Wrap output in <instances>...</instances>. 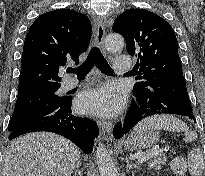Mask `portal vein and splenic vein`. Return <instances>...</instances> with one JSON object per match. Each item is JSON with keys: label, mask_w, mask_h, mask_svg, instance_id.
Returning <instances> with one entry per match:
<instances>
[{"label": "portal vein and splenic vein", "mask_w": 205, "mask_h": 176, "mask_svg": "<svg viewBox=\"0 0 205 176\" xmlns=\"http://www.w3.org/2000/svg\"><path fill=\"white\" fill-rule=\"evenodd\" d=\"M164 151L167 152L168 150L167 149H159V150L155 149V150H152V151H148L144 156H142L139 159L138 162H139V164H142L143 162H145V161H147V160H149V159H151V158L161 154Z\"/></svg>", "instance_id": "18ae733b"}]
</instances>
